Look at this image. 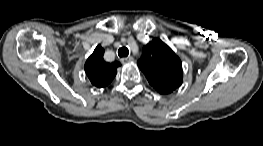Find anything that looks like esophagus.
<instances>
[{
  "label": "esophagus",
  "mask_w": 263,
  "mask_h": 146,
  "mask_svg": "<svg viewBox=\"0 0 263 146\" xmlns=\"http://www.w3.org/2000/svg\"><path fill=\"white\" fill-rule=\"evenodd\" d=\"M133 61H134L133 57H126V58L121 59L122 63H128V62H133Z\"/></svg>",
  "instance_id": "esophagus-1"
}]
</instances>
